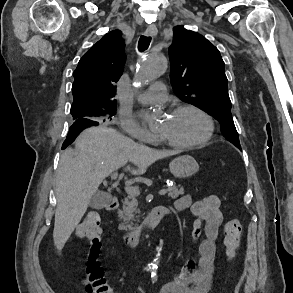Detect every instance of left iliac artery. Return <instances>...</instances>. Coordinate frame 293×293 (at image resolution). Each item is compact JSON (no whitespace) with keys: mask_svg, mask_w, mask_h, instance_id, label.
<instances>
[{"mask_svg":"<svg viewBox=\"0 0 293 293\" xmlns=\"http://www.w3.org/2000/svg\"><path fill=\"white\" fill-rule=\"evenodd\" d=\"M151 278H152L153 283L157 281V272H156V270H153L151 272Z\"/></svg>","mask_w":293,"mask_h":293,"instance_id":"left-iliac-artery-1","label":"left iliac artery"}]
</instances>
